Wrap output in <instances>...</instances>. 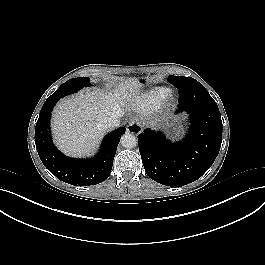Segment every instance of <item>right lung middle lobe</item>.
I'll list each match as a JSON object with an SVG mask.
<instances>
[{"label":"right lung middle lobe","instance_id":"obj_1","mask_svg":"<svg viewBox=\"0 0 265 265\" xmlns=\"http://www.w3.org/2000/svg\"><path fill=\"white\" fill-rule=\"evenodd\" d=\"M91 86L88 77L73 78L63 83L47 100H59L60 98L75 93L83 87ZM46 100V101H47Z\"/></svg>","mask_w":265,"mask_h":265}]
</instances>
